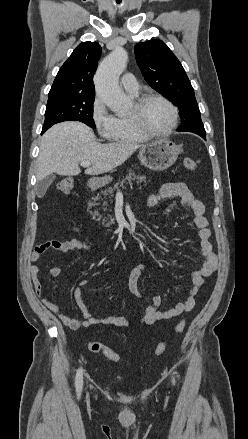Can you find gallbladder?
<instances>
[{"label": "gallbladder", "mask_w": 248, "mask_h": 439, "mask_svg": "<svg viewBox=\"0 0 248 439\" xmlns=\"http://www.w3.org/2000/svg\"><path fill=\"white\" fill-rule=\"evenodd\" d=\"M54 179L55 175L51 174L36 183V194L39 198H42L45 195L47 189L52 184Z\"/></svg>", "instance_id": "1"}]
</instances>
